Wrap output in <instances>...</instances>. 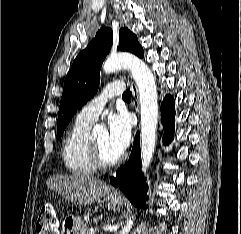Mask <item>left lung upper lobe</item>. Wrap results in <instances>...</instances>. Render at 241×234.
<instances>
[{
    "instance_id": "left-lung-upper-lobe-1",
    "label": "left lung upper lobe",
    "mask_w": 241,
    "mask_h": 234,
    "mask_svg": "<svg viewBox=\"0 0 241 234\" xmlns=\"http://www.w3.org/2000/svg\"><path fill=\"white\" fill-rule=\"evenodd\" d=\"M112 41V30L103 27L74 60L64 82L57 122V140L76 111L96 94L101 65L110 51ZM118 49L131 52L140 58L144 56L136 35L127 28L120 29Z\"/></svg>"
}]
</instances>
